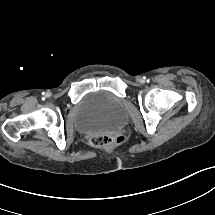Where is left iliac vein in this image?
I'll return each mask as SVG.
<instances>
[{"instance_id": "left-iliac-vein-1", "label": "left iliac vein", "mask_w": 215, "mask_h": 215, "mask_svg": "<svg viewBox=\"0 0 215 215\" xmlns=\"http://www.w3.org/2000/svg\"><path fill=\"white\" fill-rule=\"evenodd\" d=\"M139 81H140V82H143V80H142V79H139Z\"/></svg>"}]
</instances>
